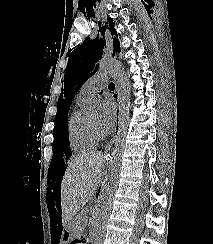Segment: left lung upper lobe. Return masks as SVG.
<instances>
[{
    "mask_svg": "<svg viewBox=\"0 0 213 244\" xmlns=\"http://www.w3.org/2000/svg\"><path fill=\"white\" fill-rule=\"evenodd\" d=\"M113 27V23L110 24L114 46L113 56H115L116 53L120 52V43ZM100 32H102L101 36H97L94 40L85 39L80 47L68 53V64L62 81V92L57 104L56 127L67 124V114L74 96L83 83L97 71V62L103 55V49L106 48V41L103 37L105 29L104 32L103 30Z\"/></svg>",
    "mask_w": 213,
    "mask_h": 244,
    "instance_id": "1",
    "label": "left lung upper lobe"
}]
</instances>
